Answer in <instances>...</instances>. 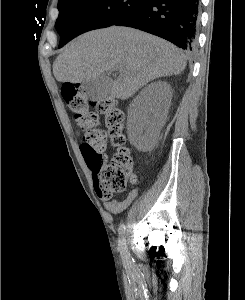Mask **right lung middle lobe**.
I'll use <instances>...</instances> for the list:
<instances>
[{"mask_svg": "<svg viewBox=\"0 0 245 300\" xmlns=\"http://www.w3.org/2000/svg\"><path fill=\"white\" fill-rule=\"evenodd\" d=\"M148 0H59V48L76 36L114 25Z\"/></svg>", "mask_w": 245, "mask_h": 300, "instance_id": "dd1d6c3e", "label": "right lung middle lobe"}]
</instances>
